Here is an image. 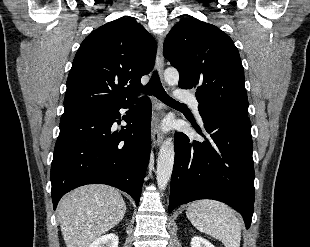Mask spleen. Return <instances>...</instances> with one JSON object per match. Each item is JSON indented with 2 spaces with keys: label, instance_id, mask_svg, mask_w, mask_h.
<instances>
[{
  "label": "spleen",
  "instance_id": "spleen-1",
  "mask_svg": "<svg viewBox=\"0 0 310 247\" xmlns=\"http://www.w3.org/2000/svg\"><path fill=\"white\" fill-rule=\"evenodd\" d=\"M186 216L197 230L218 239L225 247H240L241 222L226 204L198 200L188 205Z\"/></svg>",
  "mask_w": 310,
  "mask_h": 247
}]
</instances>
